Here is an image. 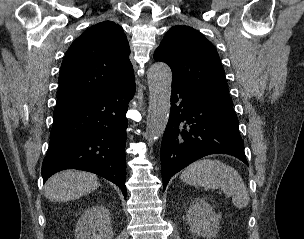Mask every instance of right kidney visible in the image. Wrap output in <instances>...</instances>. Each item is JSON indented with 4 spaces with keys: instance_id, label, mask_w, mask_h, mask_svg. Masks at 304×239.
I'll list each match as a JSON object with an SVG mask.
<instances>
[{
    "instance_id": "ca27d5eb",
    "label": "right kidney",
    "mask_w": 304,
    "mask_h": 239,
    "mask_svg": "<svg viewBox=\"0 0 304 239\" xmlns=\"http://www.w3.org/2000/svg\"><path fill=\"white\" fill-rule=\"evenodd\" d=\"M110 212L102 205L86 209L75 227V239H112Z\"/></svg>"
}]
</instances>
